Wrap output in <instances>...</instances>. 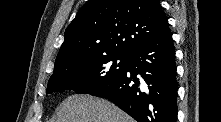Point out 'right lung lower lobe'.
<instances>
[{"label":"right lung lower lobe","mask_w":221,"mask_h":122,"mask_svg":"<svg viewBox=\"0 0 221 122\" xmlns=\"http://www.w3.org/2000/svg\"><path fill=\"white\" fill-rule=\"evenodd\" d=\"M177 90L175 49L167 24L130 55L119 77L91 95L107 98L138 122H176Z\"/></svg>","instance_id":"1"}]
</instances>
